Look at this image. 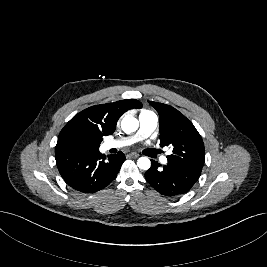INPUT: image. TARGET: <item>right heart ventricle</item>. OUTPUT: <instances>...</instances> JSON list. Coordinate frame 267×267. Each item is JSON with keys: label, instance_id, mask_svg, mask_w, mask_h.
<instances>
[{"label": "right heart ventricle", "instance_id": "e07e8e85", "mask_svg": "<svg viewBox=\"0 0 267 267\" xmlns=\"http://www.w3.org/2000/svg\"><path fill=\"white\" fill-rule=\"evenodd\" d=\"M145 112H149V111H147V110L142 111V113H145Z\"/></svg>", "mask_w": 267, "mask_h": 267}]
</instances>
